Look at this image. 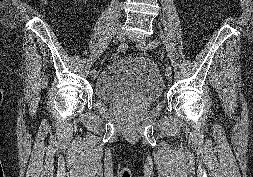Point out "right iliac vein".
Listing matches in <instances>:
<instances>
[{"label":"right iliac vein","instance_id":"right-iliac-vein-1","mask_svg":"<svg viewBox=\"0 0 253 177\" xmlns=\"http://www.w3.org/2000/svg\"><path fill=\"white\" fill-rule=\"evenodd\" d=\"M117 39L121 42L124 41V31L121 28L117 30ZM97 76H98L97 71L95 73H91V77L93 80L96 79Z\"/></svg>","mask_w":253,"mask_h":177}]
</instances>
